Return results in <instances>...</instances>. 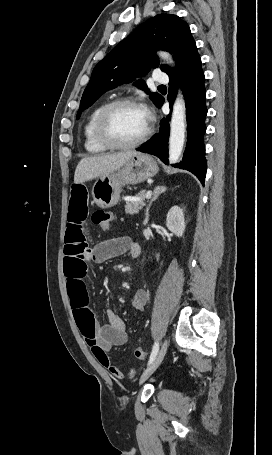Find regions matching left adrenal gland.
Returning <instances> with one entry per match:
<instances>
[{"mask_svg":"<svg viewBox=\"0 0 272 455\" xmlns=\"http://www.w3.org/2000/svg\"><path fill=\"white\" fill-rule=\"evenodd\" d=\"M165 191H166V187L165 186H157L154 189L153 197L150 200V202L148 204V207L146 208V213H145L146 218H145V221H144V225H146L148 220H149V209H150L152 203L159 197L160 194L164 193Z\"/></svg>","mask_w":272,"mask_h":455,"instance_id":"left-adrenal-gland-1","label":"left adrenal gland"}]
</instances>
